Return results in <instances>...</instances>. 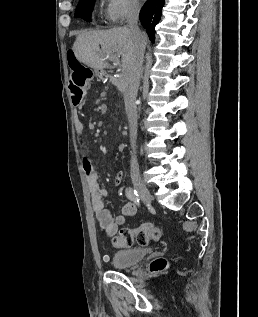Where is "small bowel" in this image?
Returning <instances> with one entry per match:
<instances>
[{
	"label": "small bowel",
	"mask_w": 258,
	"mask_h": 317,
	"mask_svg": "<svg viewBox=\"0 0 258 317\" xmlns=\"http://www.w3.org/2000/svg\"><path fill=\"white\" fill-rule=\"evenodd\" d=\"M74 129L78 141L82 142L84 135L83 115L78 116L74 120ZM82 167L87 178L91 204L95 217L104 233L107 236L112 237L117 233L118 227L125 223L126 218L133 216L136 213V206L134 203L128 202L123 205L121 214L113 217L105 204L106 190L102 187L99 175L94 168L91 159L87 155H83L82 157ZM123 178L124 172H118L114 178V184H121Z\"/></svg>",
	"instance_id": "1"
}]
</instances>
